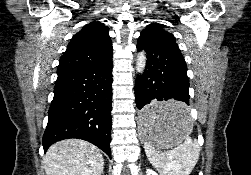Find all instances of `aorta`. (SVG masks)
Segmentation results:
<instances>
[{
	"mask_svg": "<svg viewBox=\"0 0 251 175\" xmlns=\"http://www.w3.org/2000/svg\"><path fill=\"white\" fill-rule=\"evenodd\" d=\"M146 54L145 52H139L136 60V70L138 74H143L145 68H146Z\"/></svg>",
	"mask_w": 251,
	"mask_h": 175,
	"instance_id": "aorta-1",
	"label": "aorta"
}]
</instances>
